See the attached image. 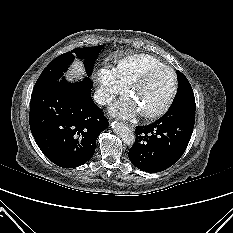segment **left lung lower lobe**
I'll list each match as a JSON object with an SVG mask.
<instances>
[{
    "label": "left lung lower lobe",
    "mask_w": 233,
    "mask_h": 233,
    "mask_svg": "<svg viewBox=\"0 0 233 233\" xmlns=\"http://www.w3.org/2000/svg\"><path fill=\"white\" fill-rule=\"evenodd\" d=\"M195 116L170 115L147 126H137L136 141L128 157L138 169L155 173L171 167L185 152Z\"/></svg>",
    "instance_id": "1"
}]
</instances>
